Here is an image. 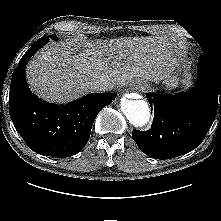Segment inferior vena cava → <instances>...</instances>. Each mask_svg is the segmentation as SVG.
Wrapping results in <instances>:
<instances>
[{
	"instance_id": "obj_1",
	"label": "inferior vena cava",
	"mask_w": 221,
	"mask_h": 221,
	"mask_svg": "<svg viewBox=\"0 0 221 221\" xmlns=\"http://www.w3.org/2000/svg\"><path fill=\"white\" fill-rule=\"evenodd\" d=\"M113 87L114 85L111 81L104 77L90 83V89L97 92L110 91Z\"/></svg>"
}]
</instances>
